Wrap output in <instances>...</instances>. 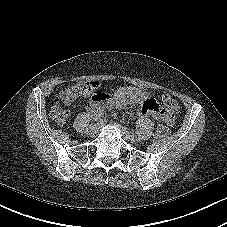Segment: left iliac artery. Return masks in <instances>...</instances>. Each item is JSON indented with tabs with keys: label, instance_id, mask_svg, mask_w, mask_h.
I'll list each match as a JSON object with an SVG mask.
<instances>
[{
	"label": "left iliac artery",
	"instance_id": "left-iliac-artery-1",
	"mask_svg": "<svg viewBox=\"0 0 227 227\" xmlns=\"http://www.w3.org/2000/svg\"><path fill=\"white\" fill-rule=\"evenodd\" d=\"M133 136L136 138V140H141L142 139V136L141 135H139L137 132H134L133 133Z\"/></svg>",
	"mask_w": 227,
	"mask_h": 227
}]
</instances>
